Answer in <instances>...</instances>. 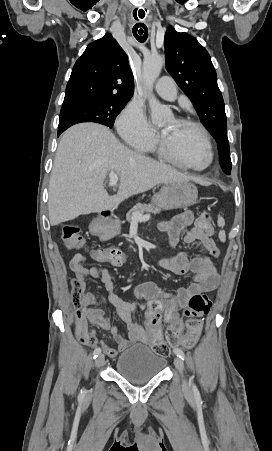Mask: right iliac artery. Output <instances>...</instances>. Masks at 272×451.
<instances>
[{"label":"right iliac artery","instance_id":"obj_1","mask_svg":"<svg viewBox=\"0 0 272 451\" xmlns=\"http://www.w3.org/2000/svg\"><path fill=\"white\" fill-rule=\"evenodd\" d=\"M101 354V349L100 348H96L93 352V358L96 359L99 355ZM85 396V389H81L80 394L78 396V398L80 400H83Z\"/></svg>","mask_w":272,"mask_h":451}]
</instances>
